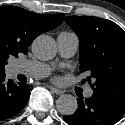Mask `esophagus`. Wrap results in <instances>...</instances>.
Wrapping results in <instances>:
<instances>
[{
	"mask_svg": "<svg viewBox=\"0 0 125 125\" xmlns=\"http://www.w3.org/2000/svg\"><path fill=\"white\" fill-rule=\"evenodd\" d=\"M48 88L55 94L57 95H62L63 94V91L61 89H58L54 86H51V85H48Z\"/></svg>",
	"mask_w": 125,
	"mask_h": 125,
	"instance_id": "obj_1",
	"label": "esophagus"
}]
</instances>
